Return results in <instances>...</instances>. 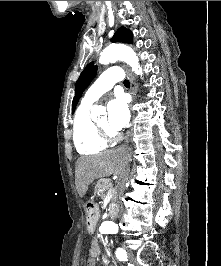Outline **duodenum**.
Segmentation results:
<instances>
[{
  "instance_id": "1",
  "label": "duodenum",
  "mask_w": 221,
  "mask_h": 266,
  "mask_svg": "<svg viewBox=\"0 0 221 266\" xmlns=\"http://www.w3.org/2000/svg\"><path fill=\"white\" fill-rule=\"evenodd\" d=\"M119 211L118 207H111L110 211L107 212L108 216H115L116 213ZM95 224V219L93 215L89 216V219L87 221L88 228L91 229Z\"/></svg>"
}]
</instances>
